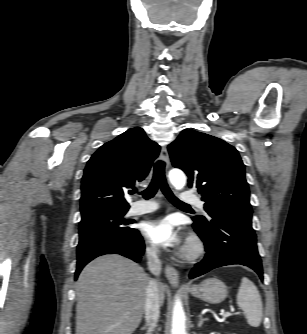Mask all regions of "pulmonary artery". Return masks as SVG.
<instances>
[{"label":"pulmonary artery","mask_w":307,"mask_h":334,"mask_svg":"<svg viewBox=\"0 0 307 334\" xmlns=\"http://www.w3.org/2000/svg\"><path fill=\"white\" fill-rule=\"evenodd\" d=\"M182 199L186 202L196 205L199 209L204 211V203L200 198L182 196ZM158 208H159V205L156 202H144L142 200H139L131 206L129 213L134 216L143 215V214L151 213L157 210Z\"/></svg>","instance_id":"obj_1"}]
</instances>
